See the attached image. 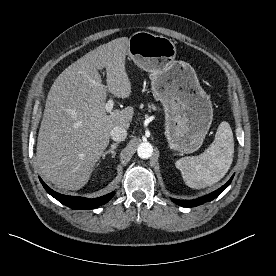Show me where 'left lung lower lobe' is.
<instances>
[{
  "label": "left lung lower lobe",
  "instance_id": "1",
  "mask_svg": "<svg viewBox=\"0 0 276 276\" xmlns=\"http://www.w3.org/2000/svg\"><path fill=\"white\" fill-rule=\"evenodd\" d=\"M232 179H233V176L230 178V180L225 185H223L218 190H216V191H214V192H212L208 195H205L203 197H200L198 199H194V200H176V199H172V201L174 203L182 206V207H195V206H198V205H202L206 202H209V201H212L213 199H215L221 192H223L229 186Z\"/></svg>",
  "mask_w": 276,
  "mask_h": 276
}]
</instances>
